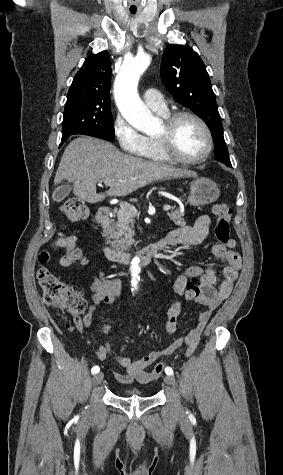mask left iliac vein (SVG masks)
Instances as JSON below:
<instances>
[{
	"label": "left iliac vein",
	"instance_id": "left-iliac-vein-1",
	"mask_svg": "<svg viewBox=\"0 0 283 475\" xmlns=\"http://www.w3.org/2000/svg\"><path fill=\"white\" fill-rule=\"evenodd\" d=\"M164 382L166 384L174 387L175 389H177V383H176V380L173 376H171V375L165 376L164 377Z\"/></svg>",
	"mask_w": 283,
	"mask_h": 475
}]
</instances>
